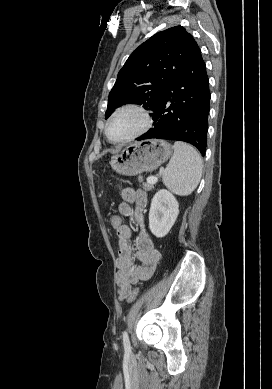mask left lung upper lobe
<instances>
[{
    "instance_id": "obj_1",
    "label": "left lung upper lobe",
    "mask_w": 272,
    "mask_h": 389,
    "mask_svg": "<svg viewBox=\"0 0 272 389\" xmlns=\"http://www.w3.org/2000/svg\"><path fill=\"white\" fill-rule=\"evenodd\" d=\"M200 50L182 26L158 32L142 43L119 71L108 97L107 119L123 104L154 110L168 84Z\"/></svg>"
}]
</instances>
